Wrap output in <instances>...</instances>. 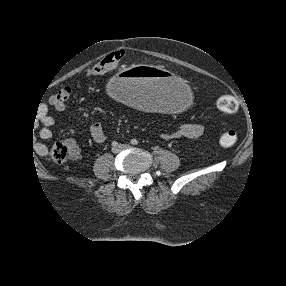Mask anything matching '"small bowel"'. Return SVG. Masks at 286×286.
<instances>
[{"label": "small bowel", "instance_id": "c3829d8e", "mask_svg": "<svg viewBox=\"0 0 286 286\" xmlns=\"http://www.w3.org/2000/svg\"><path fill=\"white\" fill-rule=\"evenodd\" d=\"M40 121L43 126L40 128L38 135L42 140H49L53 135L52 126L54 125V118L45 110L40 115ZM202 132L203 127L201 124L191 121H182L173 131L163 133V137L165 139H193L199 137ZM90 134L96 143H103L106 140L105 130L99 122L91 126ZM64 142L69 147L72 157L79 159L81 150L78 143L72 138L65 139ZM35 150L40 155H47L48 147L44 143H37Z\"/></svg>", "mask_w": 286, "mask_h": 286}]
</instances>
